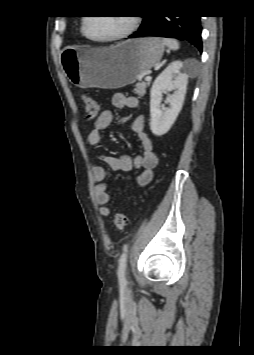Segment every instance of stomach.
<instances>
[{
  "mask_svg": "<svg viewBox=\"0 0 254 355\" xmlns=\"http://www.w3.org/2000/svg\"><path fill=\"white\" fill-rule=\"evenodd\" d=\"M164 49L162 39L145 37L105 48L65 47L60 62L75 86L116 89L134 83L154 67Z\"/></svg>",
  "mask_w": 254,
  "mask_h": 355,
  "instance_id": "1",
  "label": "stomach"
}]
</instances>
